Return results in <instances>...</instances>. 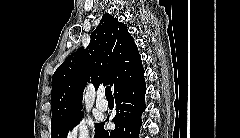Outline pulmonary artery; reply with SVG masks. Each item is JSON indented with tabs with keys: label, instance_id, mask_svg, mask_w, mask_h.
<instances>
[{
	"label": "pulmonary artery",
	"instance_id": "e3ab8cb5",
	"mask_svg": "<svg viewBox=\"0 0 240 138\" xmlns=\"http://www.w3.org/2000/svg\"><path fill=\"white\" fill-rule=\"evenodd\" d=\"M96 106L100 111H106L108 109V103L104 99V90L102 89L97 91Z\"/></svg>",
	"mask_w": 240,
	"mask_h": 138
}]
</instances>
